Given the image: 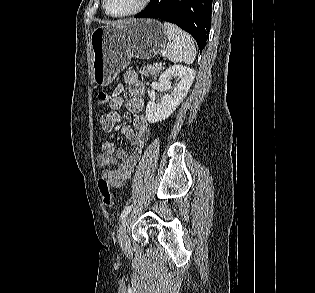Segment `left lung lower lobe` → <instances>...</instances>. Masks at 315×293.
I'll use <instances>...</instances> for the list:
<instances>
[{"label": "left lung lower lobe", "mask_w": 315, "mask_h": 293, "mask_svg": "<svg viewBox=\"0 0 315 293\" xmlns=\"http://www.w3.org/2000/svg\"><path fill=\"white\" fill-rule=\"evenodd\" d=\"M212 0H150L135 18H158L178 25L204 48L211 24Z\"/></svg>", "instance_id": "1"}]
</instances>
